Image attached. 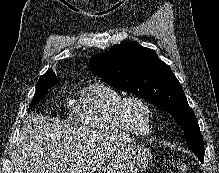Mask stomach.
Segmentation results:
<instances>
[{"instance_id": "1", "label": "stomach", "mask_w": 219, "mask_h": 173, "mask_svg": "<svg viewBox=\"0 0 219 173\" xmlns=\"http://www.w3.org/2000/svg\"><path fill=\"white\" fill-rule=\"evenodd\" d=\"M152 155L138 142L123 144L97 170V173H139L151 162Z\"/></svg>"}]
</instances>
